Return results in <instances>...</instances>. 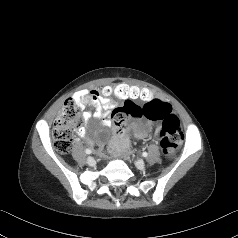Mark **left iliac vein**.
Listing matches in <instances>:
<instances>
[{
    "label": "left iliac vein",
    "instance_id": "left-iliac-vein-1",
    "mask_svg": "<svg viewBox=\"0 0 238 238\" xmlns=\"http://www.w3.org/2000/svg\"><path fill=\"white\" fill-rule=\"evenodd\" d=\"M135 164H136L137 168H139L141 170L145 168V163L142 160H137Z\"/></svg>",
    "mask_w": 238,
    "mask_h": 238
}]
</instances>
